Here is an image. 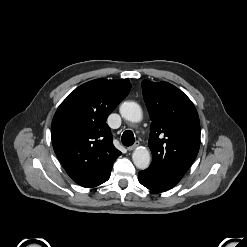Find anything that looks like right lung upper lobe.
Masks as SVG:
<instances>
[{"label":"right lung upper lobe","mask_w":247,"mask_h":247,"mask_svg":"<svg viewBox=\"0 0 247 247\" xmlns=\"http://www.w3.org/2000/svg\"><path fill=\"white\" fill-rule=\"evenodd\" d=\"M128 79H96L76 88L58 107L51 127L54 151L67 174L85 188L106 182L121 155L108 115L128 95Z\"/></svg>","instance_id":"right-lung-upper-lobe-1"}]
</instances>
